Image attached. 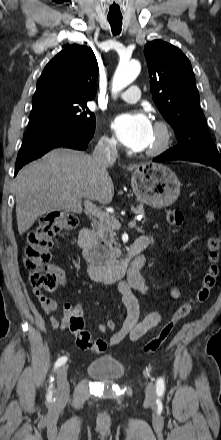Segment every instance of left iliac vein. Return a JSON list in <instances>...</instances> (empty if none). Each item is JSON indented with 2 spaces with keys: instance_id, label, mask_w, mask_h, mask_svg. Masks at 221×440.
Masks as SVG:
<instances>
[{
  "instance_id": "4c4485c4",
  "label": "left iliac vein",
  "mask_w": 221,
  "mask_h": 440,
  "mask_svg": "<svg viewBox=\"0 0 221 440\" xmlns=\"http://www.w3.org/2000/svg\"><path fill=\"white\" fill-rule=\"evenodd\" d=\"M145 393H146V397L148 399L153 400L155 398L156 393H155V387H154L153 383L148 384V386L146 387Z\"/></svg>"
}]
</instances>
